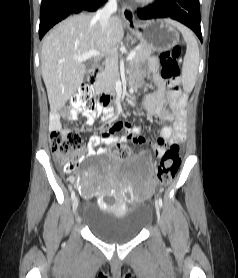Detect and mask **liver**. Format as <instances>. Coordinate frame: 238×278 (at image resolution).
<instances>
[{
  "label": "liver",
  "instance_id": "6515ba94",
  "mask_svg": "<svg viewBox=\"0 0 238 278\" xmlns=\"http://www.w3.org/2000/svg\"><path fill=\"white\" fill-rule=\"evenodd\" d=\"M123 36L121 20L115 16L109 19L104 33L91 14L69 17L54 27L44 38L41 52L51 112L60 110L83 82L86 66L75 58L91 50L113 52Z\"/></svg>",
  "mask_w": 238,
  "mask_h": 278
}]
</instances>
